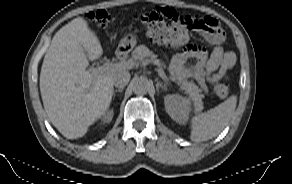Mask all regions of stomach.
Returning <instances> with one entry per match:
<instances>
[{"label":"stomach","mask_w":292,"mask_h":184,"mask_svg":"<svg viewBox=\"0 0 292 184\" xmlns=\"http://www.w3.org/2000/svg\"><path fill=\"white\" fill-rule=\"evenodd\" d=\"M135 45L136 37L133 34H127L121 39L119 49L133 48Z\"/></svg>","instance_id":"obj_1"}]
</instances>
